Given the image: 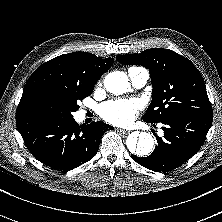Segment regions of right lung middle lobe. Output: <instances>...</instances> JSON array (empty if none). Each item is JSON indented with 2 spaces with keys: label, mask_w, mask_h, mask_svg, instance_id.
<instances>
[{
  "label": "right lung middle lobe",
  "mask_w": 222,
  "mask_h": 222,
  "mask_svg": "<svg viewBox=\"0 0 222 222\" xmlns=\"http://www.w3.org/2000/svg\"><path fill=\"white\" fill-rule=\"evenodd\" d=\"M92 89L56 88L44 93L38 101L37 114L73 118L72 112L79 109L77 102L89 96Z\"/></svg>",
  "instance_id": "1"
}]
</instances>
